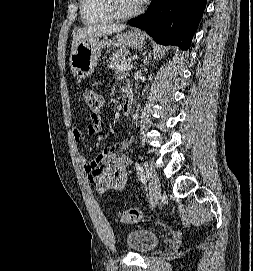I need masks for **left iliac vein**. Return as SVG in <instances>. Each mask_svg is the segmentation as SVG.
I'll use <instances>...</instances> for the list:
<instances>
[{
  "mask_svg": "<svg viewBox=\"0 0 253 271\" xmlns=\"http://www.w3.org/2000/svg\"><path fill=\"white\" fill-rule=\"evenodd\" d=\"M146 166H147V180L150 187L151 200L152 203L155 204L158 202L159 197L161 195V185L156 171L152 167L148 165Z\"/></svg>",
  "mask_w": 253,
  "mask_h": 271,
  "instance_id": "4c4485c4",
  "label": "left iliac vein"
}]
</instances>
